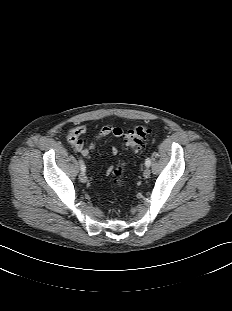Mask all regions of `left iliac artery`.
<instances>
[{
	"mask_svg": "<svg viewBox=\"0 0 232 311\" xmlns=\"http://www.w3.org/2000/svg\"><path fill=\"white\" fill-rule=\"evenodd\" d=\"M145 165H146L147 167H149V166L151 165V160H150V158H147V159H146Z\"/></svg>",
	"mask_w": 232,
	"mask_h": 311,
	"instance_id": "left-iliac-artery-1",
	"label": "left iliac artery"
}]
</instances>
